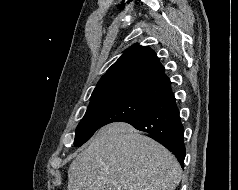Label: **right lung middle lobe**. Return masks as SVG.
Instances as JSON below:
<instances>
[{
	"instance_id": "dd1d6c3e",
	"label": "right lung middle lobe",
	"mask_w": 238,
	"mask_h": 190,
	"mask_svg": "<svg viewBox=\"0 0 238 190\" xmlns=\"http://www.w3.org/2000/svg\"><path fill=\"white\" fill-rule=\"evenodd\" d=\"M152 105L149 101L127 95L92 100L77 127L74 145L79 147L84 144L100 127L112 122H123Z\"/></svg>"
}]
</instances>
